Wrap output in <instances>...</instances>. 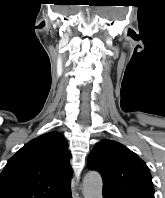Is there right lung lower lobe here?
<instances>
[{
	"label": "right lung lower lobe",
	"instance_id": "right-lung-lower-lobe-1",
	"mask_svg": "<svg viewBox=\"0 0 165 198\" xmlns=\"http://www.w3.org/2000/svg\"><path fill=\"white\" fill-rule=\"evenodd\" d=\"M65 198H72L71 196V192L68 194V196H66Z\"/></svg>",
	"mask_w": 165,
	"mask_h": 198
}]
</instances>
